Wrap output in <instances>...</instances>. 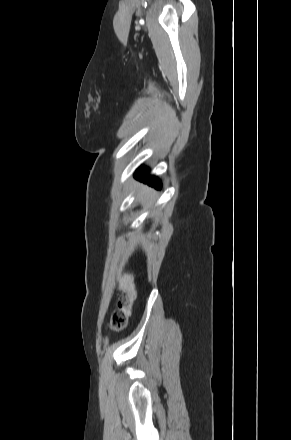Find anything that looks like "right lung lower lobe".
Listing matches in <instances>:
<instances>
[{
    "mask_svg": "<svg viewBox=\"0 0 291 440\" xmlns=\"http://www.w3.org/2000/svg\"><path fill=\"white\" fill-rule=\"evenodd\" d=\"M135 177L141 181L147 182L148 184H150L151 186H154L157 189L161 188L160 182L157 180V178L154 176H149L148 169L145 167H140L136 171Z\"/></svg>",
    "mask_w": 291,
    "mask_h": 440,
    "instance_id": "1",
    "label": "right lung lower lobe"
}]
</instances>
